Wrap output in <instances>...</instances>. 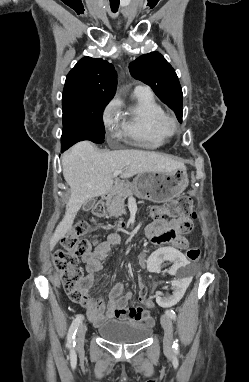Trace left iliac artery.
<instances>
[{
  "instance_id": "1",
  "label": "left iliac artery",
  "mask_w": 249,
  "mask_h": 382,
  "mask_svg": "<svg viewBox=\"0 0 249 382\" xmlns=\"http://www.w3.org/2000/svg\"><path fill=\"white\" fill-rule=\"evenodd\" d=\"M165 314L170 317L171 319L175 320L176 319V313L173 311V310H166ZM173 348L175 350L178 349V343H177V340L174 342L173 344Z\"/></svg>"
}]
</instances>
